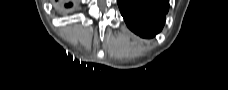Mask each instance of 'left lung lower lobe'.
<instances>
[{"label": "left lung lower lobe", "mask_w": 228, "mask_h": 90, "mask_svg": "<svg viewBox=\"0 0 228 90\" xmlns=\"http://www.w3.org/2000/svg\"><path fill=\"white\" fill-rule=\"evenodd\" d=\"M127 26L141 37L157 34L165 23L167 0H117Z\"/></svg>", "instance_id": "left-lung-lower-lobe-1"}]
</instances>
